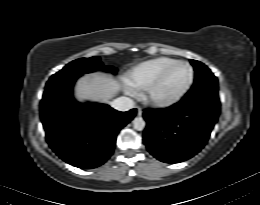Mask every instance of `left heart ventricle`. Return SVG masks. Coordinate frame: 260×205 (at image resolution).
Listing matches in <instances>:
<instances>
[{
  "label": "left heart ventricle",
  "mask_w": 260,
  "mask_h": 205,
  "mask_svg": "<svg viewBox=\"0 0 260 205\" xmlns=\"http://www.w3.org/2000/svg\"><path fill=\"white\" fill-rule=\"evenodd\" d=\"M190 75V69L186 65L179 64L174 66L158 85L154 95L162 99L175 96L188 84Z\"/></svg>",
  "instance_id": "left-heart-ventricle-1"
}]
</instances>
